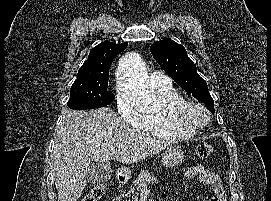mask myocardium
I'll list each match as a JSON object with an SVG mask.
<instances>
[{
    "instance_id": "1",
    "label": "myocardium",
    "mask_w": 271,
    "mask_h": 201,
    "mask_svg": "<svg viewBox=\"0 0 271 201\" xmlns=\"http://www.w3.org/2000/svg\"><path fill=\"white\" fill-rule=\"evenodd\" d=\"M166 111L177 124L195 131L205 128L211 120L209 110L194 100L181 99L171 102L166 106ZM193 111L202 113L204 119L202 121L197 120L193 115Z\"/></svg>"
}]
</instances>
